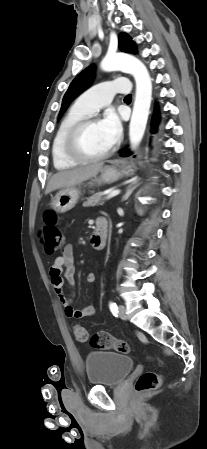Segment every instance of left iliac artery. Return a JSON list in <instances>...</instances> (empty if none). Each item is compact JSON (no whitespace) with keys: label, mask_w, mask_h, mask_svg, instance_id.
<instances>
[{"label":"left iliac artery","mask_w":207,"mask_h":449,"mask_svg":"<svg viewBox=\"0 0 207 449\" xmlns=\"http://www.w3.org/2000/svg\"><path fill=\"white\" fill-rule=\"evenodd\" d=\"M109 309H110V311H111V313L114 315V316H117L118 315V306H117V304L115 303V302H110L109 303Z\"/></svg>","instance_id":"left-iliac-artery-1"}]
</instances>
